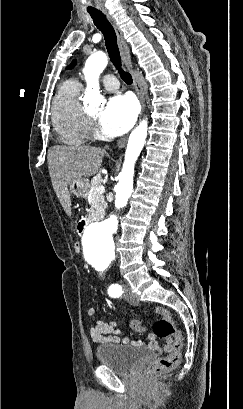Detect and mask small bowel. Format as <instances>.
I'll use <instances>...</instances> for the list:
<instances>
[{
  "label": "small bowel",
  "mask_w": 243,
  "mask_h": 409,
  "mask_svg": "<svg viewBox=\"0 0 243 409\" xmlns=\"http://www.w3.org/2000/svg\"><path fill=\"white\" fill-rule=\"evenodd\" d=\"M95 309L93 307L87 308V314L93 315ZM90 336L92 341L95 344H125L139 347H147L152 350H162V351H171V344L159 345L156 336L150 334L148 340L144 341L142 339H129L125 336H122V331L118 328V325L115 321H101L97 320L95 325L90 329Z\"/></svg>",
  "instance_id": "small-bowel-1"
}]
</instances>
